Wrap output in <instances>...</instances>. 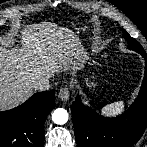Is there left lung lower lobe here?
Here are the masks:
<instances>
[{"mask_svg":"<svg viewBox=\"0 0 147 147\" xmlns=\"http://www.w3.org/2000/svg\"><path fill=\"white\" fill-rule=\"evenodd\" d=\"M144 80L137 99L122 115L108 118L84 105L77 96L71 111L78 147H131L147 126V55Z\"/></svg>","mask_w":147,"mask_h":147,"instance_id":"1","label":"left lung lower lobe"}]
</instances>
